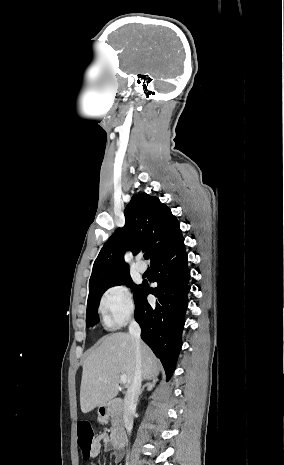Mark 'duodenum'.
Segmentation results:
<instances>
[{
	"label": "duodenum",
	"mask_w": 284,
	"mask_h": 465,
	"mask_svg": "<svg viewBox=\"0 0 284 465\" xmlns=\"http://www.w3.org/2000/svg\"><path fill=\"white\" fill-rule=\"evenodd\" d=\"M124 406V401L120 399H115L109 404L102 406L100 408L98 417L101 422L106 420L112 413L117 410H120ZM126 435L125 430L122 427H116L111 434V442L113 447L121 449L125 445Z\"/></svg>",
	"instance_id": "410a0bca"
}]
</instances>
